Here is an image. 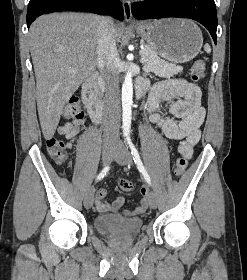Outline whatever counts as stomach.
Returning a JSON list of instances; mask_svg holds the SVG:
<instances>
[{
    "label": "stomach",
    "instance_id": "obj_1",
    "mask_svg": "<svg viewBox=\"0 0 247 280\" xmlns=\"http://www.w3.org/2000/svg\"><path fill=\"white\" fill-rule=\"evenodd\" d=\"M155 53L172 63H186L195 58L203 45L199 27L187 19H162L143 22L136 27Z\"/></svg>",
    "mask_w": 247,
    "mask_h": 280
}]
</instances>
